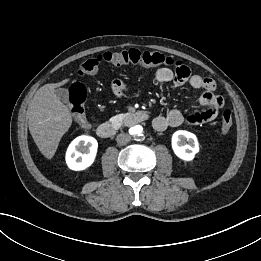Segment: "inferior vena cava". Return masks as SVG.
Listing matches in <instances>:
<instances>
[{"instance_id":"inferior-vena-cava-1","label":"inferior vena cava","mask_w":261,"mask_h":261,"mask_svg":"<svg viewBox=\"0 0 261 261\" xmlns=\"http://www.w3.org/2000/svg\"><path fill=\"white\" fill-rule=\"evenodd\" d=\"M131 140V136L127 133L117 135L116 141L119 145H126Z\"/></svg>"}]
</instances>
